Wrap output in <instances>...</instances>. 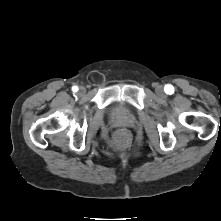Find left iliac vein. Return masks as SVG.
Wrapping results in <instances>:
<instances>
[{
	"label": "left iliac vein",
	"mask_w": 221,
	"mask_h": 221,
	"mask_svg": "<svg viewBox=\"0 0 221 221\" xmlns=\"http://www.w3.org/2000/svg\"><path fill=\"white\" fill-rule=\"evenodd\" d=\"M155 92L160 97H164L165 96L164 88L162 86H157L156 89H155Z\"/></svg>",
	"instance_id": "1"
}]
</instances>
